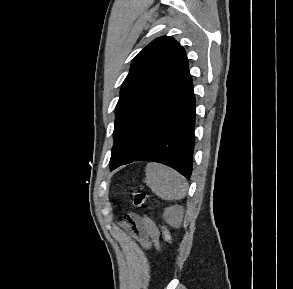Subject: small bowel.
Wrapping results in <instances>:
<instances>
[{
    "label": "small bowel",
    "mask_w": 293,
    "mask_h": 289,
    "mask_svg": "<svg viewBox=\"0 0 293 289\" xmlns=\"http://www.w3.org/2000/svg\"><path fill=\"white\" fill-rule=\"evenodd\" d=\"M127 230L144 249H160V233L157 226L150 218L130 213L128 215Z\"/></svg>",
    "instance_id": "1"
}]
</instances>
